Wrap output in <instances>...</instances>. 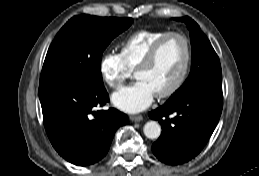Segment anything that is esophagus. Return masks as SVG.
Returning <instances> with one entry per match:
<instances>
[{"mask_svg": "<svg viewBox=\"0 0 259 176\" xmlns=\"http://www.w3.org/2000/svg\"><path fill=\"white\" fill-rule=\"evenodd\" d=\"M130 120L134 122H139L143 120V117L141 115H131Z\"/></svg>", "mask_w": 259, "mask_h": 176, "instance_id": "esophagus-1", "label": "esophagus"}]
</instances>
